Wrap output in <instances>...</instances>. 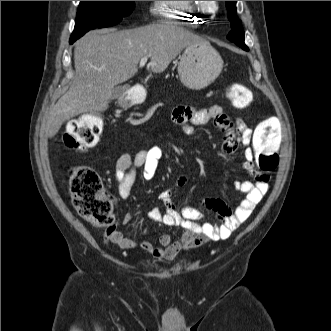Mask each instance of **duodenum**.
<instances>
[{"mask_svg":"<svg viewBox=\"0 0 331 331\" xmlns=\"http://www.w3.org/2000/svg\"><path fill=\"white\" fill-rule=\"evenodd\" d=\"M145 94V88L142 85H136L128 91L126 97L131 103H140L143 101Z\"/></svg>","mask_w":331,"mask_h":331,"instance_id":"duodenum-1","label":"duodenum"}]
</instances>
